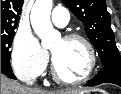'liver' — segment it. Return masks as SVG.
Here are the masks:
<instances>
[{"instance_id":"liver-1","label":"liver","mask_w":121,"mask_h":94,"mask_svg":"<svg viewBox=\"0 0 121 94\" xmlns=\"http://www.w3.org/2000/svg\"><path fill=\"white\" fill-rule=\"evenodd\" d=\"M78 90L46 91L23 86L1 74V94H80Z\"/></svg>"}]
</instances>
